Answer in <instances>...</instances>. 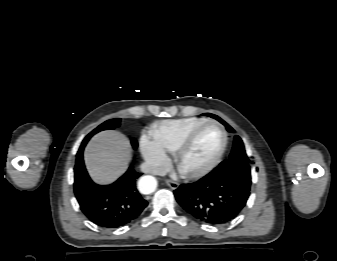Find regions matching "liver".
Listing matches in <instances>:
<instances>
[{
    "label": "liver",
    "mask_w": 337,
    "mask_h": 261,
    "mask_svg": "<svg viewBox=\"0 0 337 261\" xmlns=\"http://www.w3.org/2000/svg\"><path fill=\"white\" fill-rule=\"evenodd\" d=\"M131 157L128 139L116 131L95 135L84 151L86 168L94 181L100 184L114 182L127 169Z\"/></svg>",
    "instance_id": "6515ba94"
}]
</instances>
